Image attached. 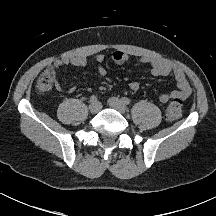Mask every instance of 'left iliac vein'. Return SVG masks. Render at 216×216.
<instances>
[{
    "mask_svg": "<svg viewBox=\"0 0 216 216\" xmlns=\"http://www.w3.org/2000/svg\"><path fill=\"white\" fill-rule=\"evenodd\" d=\"M108 103H109L110 107L116 109L117 111H119L122 114L126 113V111H127L125 104L120 99H118L116 97L109 98Z\"/></svg>",
    "mask_w": 216,
    "mask_h": 216,
    "instance_id": "1",
    "label": "left iliac vein"
}]
</instances>
